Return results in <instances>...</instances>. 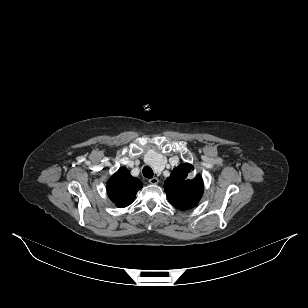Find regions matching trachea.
<instances>
[{
  "label": "trachea",
  "mask_w": 308,
  "mask_h": 308,
  "mask_svg": "<svg viewBox=\"0 0 308 308\" xmlns=\"http://www.w3.org/2000/svg\"><path fill=\"white\" fill-rule=\"evenodd\" d=\"M143 175L146 178H152L153 177V170L149 166H145L143 168Z\"/></svg>",
  "instance_id": "obj_1"
}]
</instances>
